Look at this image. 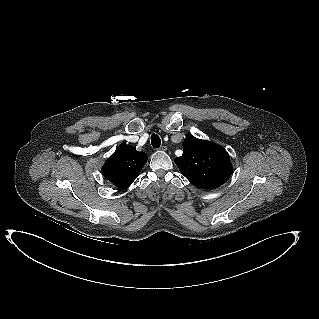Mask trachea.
I'll use <instances>...</instances> for the list:
<instances>
[{
  "mask_svg": "<svg viewBox=\"0 0 319 319\" xmlns=\"http://www.w3.org/2000/svg\"><path fill=\"white\" fill-rule=\"evenodd\" d=\"M151 144H152V146H153L154 148H159L160 145H161V139H160V137H159L157 134H155V133H153V134L151 135Z\"/></svg>",
  "mask_w": 319,
  "mask_h": 319,
  "instance_id": "obj_1",
  "label": "trachea"
}]
</instances>
